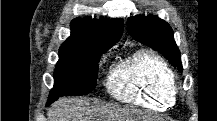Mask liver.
I'll return each instance as SVG.
<instances>
[{
	"label": "liver",
	"mask_w": 217,
	"mask_h": 121,
	"mask_svg": "<svg viewBox=\"0 0 217 121\" xmlns=\"http://www.w3.org/2000/svg\"><path fill=\"white\" fill-rule=\"evenodd\" d=\"M48 121H135L127 108L103 106L85 98H60L47 113Z\"/></svg>",
	"instance_id": "6515ba94"
}]
</instances>
